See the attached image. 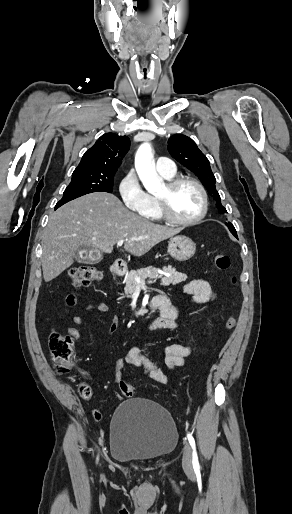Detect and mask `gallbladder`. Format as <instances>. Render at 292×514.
Masks as SVG:
<instances>
[{
  "instance_id": "1",
  "label": "gallbladder",
  "mask_w": 292,
  "mask_h": 514,
  "mask_svg": "<svg viewBox=\"0 0 292 514\" xmlns=\"http://www.w3.org/2000/svg\"><path fill=\"white\" fill-rule=\"evenodd\" d=\"M74 254L77 262H81V264H91L92 260L89 256L88 248H78V250H75Z\"/></svg>"
}]
</instances>
